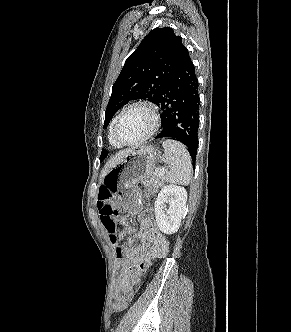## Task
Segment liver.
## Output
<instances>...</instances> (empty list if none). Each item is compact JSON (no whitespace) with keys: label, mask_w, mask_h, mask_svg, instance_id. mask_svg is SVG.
Segmentation results:
<instances>
[{"label":"liver","mask_w":291,"mask_h":332,"mask_svg":"<svg viewBox=\"0 0 291 332\" xmlns=\"http://www.w3.org/2000/svg\"><path fill=\"white\" fill-rule=\"evenodd\" d=\"M132 150H134V148L121 150L118 153H116L115 155H113L110 158V160L107 162V164L105 165V168L100 175V182L103 181V178L108 173L109 169L113 168L126 154H128Z\"/></svg>","instance_id":"liver-1"}]
</instances>
